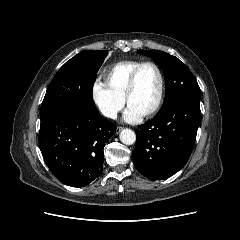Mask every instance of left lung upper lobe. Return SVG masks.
Returning <instances> with one entry per match:
<instances>
[{"label":"left lung upper lobe","instance_id":"5c2ea615","mask_svg":"<svg viewBox=\"0 0 240 240\" xmlns=\"http://www.w3.org/2000/svg\"><path fill=\"white\" fill-rule=\"evenodd\" d=\"M139 53L151 57L162 69L165 76V101L194 96L201 98V90L192 72L177 57L157 50H138Z\"/></svg>","mask_w":240,"mask_h":240}]
</instances>
